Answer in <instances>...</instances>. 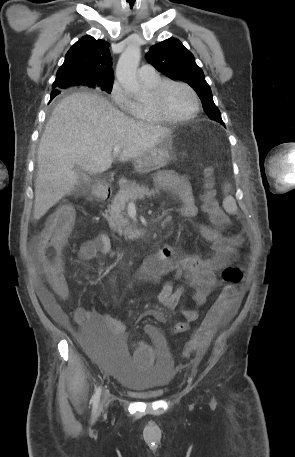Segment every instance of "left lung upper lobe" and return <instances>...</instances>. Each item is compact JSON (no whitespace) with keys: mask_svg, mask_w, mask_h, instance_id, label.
<instances>
[{"mask_svg":"<svg viewBox=\"0 0 295 457\" xmlns=\"http://www.w3.org/2000/svg\"><path fill=\"white\" fill-rule=\"evenodd\" d=\"M146 59L165 76L190 85L200 97L208 117L224 125L202 69L181 41L169 38L152 46L146 53Z\"/></svg>","mask_w":295,"mask_h":457,"instance_id":"obj_1","label":"left lung upper lobe"}]
</instances>
